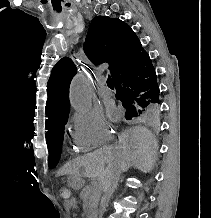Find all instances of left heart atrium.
<instances>
[{"instance_id":"obj_1","label":"left heart atrium","mask_w":211,"mask_h":218,"mask_svg":"<svg viewBox=\"0 0 211 218\" xmlns=\"http://www.w3.org/2000/svg\"><path fill=\"white\" fill-rule=\"evenodd\" d=\"M108 114L110 117L114 118L116 113H115V110L112 108V107H109L108 108Z\"/></svg>"}]
</instances>
